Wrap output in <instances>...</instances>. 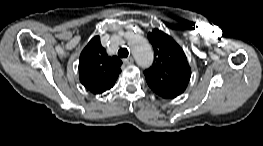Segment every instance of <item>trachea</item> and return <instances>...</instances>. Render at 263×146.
I'll return each instance as SVG.
<instances>
[{"instance_id": "trachea-1", "label": "trachea", "mask_w": 263, "mask_h": 146, "mask_svg": "<svg viewBox=\"0 0 263 146\" xmlns=\"http://www.w3.org/2000/svg\"><path fill=\"white\" fill-rule=\"evenodd\" d=\"M128 55H129V51L127 50V48H121V49H119V51H118V56H119L120 58H127Z\"/></svg>"}]
</instances>
